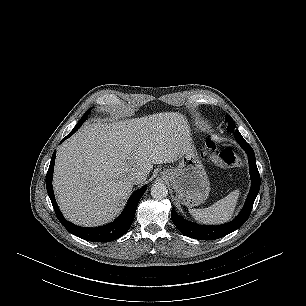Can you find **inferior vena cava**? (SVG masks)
<instances>
[{"mask_svg": "<svg viewBox=\"0 0 306 306\" xmlns=\"http://www.w3.org/2000/svg\"><path fill=\"white\" fill-rule=\"evenodd\" d=\"M146 175L142 171H134L130 173L129 180L132 184H140L145 181Z\"/></svg>", "mask_w": 306, "mask_h": 306, "instance_id": "1", "label": "inferior vena cava"}]
</instances>
